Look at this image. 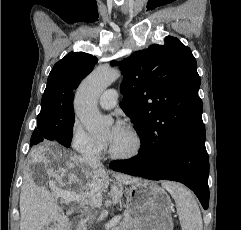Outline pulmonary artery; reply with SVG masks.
I'll return each mask as SVG.
<instances>
[{
	"label": "pulmonary artery",
	"instance_id": "1",
	"mask_svg": "<svg viewBox=\"0 0 241 230\" xmlns=\"http://www.w3.org/2000/svg\"><path fill=\"white\" fill-rule=\"evenodd\" d=\"M117 99V91L115 89H107L101 94L99 104L103 109H112L116 105Z\"/></svg>",
	"mask_w": 241,
	"mask_h": 230
}]
</instances>
